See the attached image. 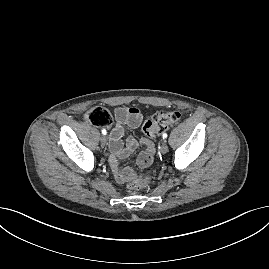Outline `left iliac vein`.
Wrapping results in <instances>:
<instances>
[{
    "label": "left iliac vein",
    "instance_id": "1",
    "mask_svg": "<svg viewBox=\"0 0 269 269\" xmlns=\"http://www.w3.org/2000/svg\"><path fill=\"white\" fill-rule=\"evenodd\" d=\"M160 152L162 153V154H166L167 152H168V145L166 144V142L165 141H163L162 143H161V145H160Z\"/></svg>",
    "mask_w": 269,
    "mask_h": 269
}]
</instances>
